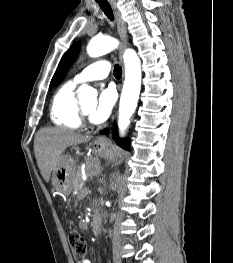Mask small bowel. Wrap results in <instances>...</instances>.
<instances>
[{"label": "small bowel", "instance_id": "c3829d8e", "mask_svg": "<svg viewBox=\"0 0 233 263\" xmlns=\"http://www.w3.org/2000/svg\"><path fill=\"white\" fill-rule=\"evenodd\" d=\"M80 263H91V261L86 258V259L82 260Z\"/></svg>", "mask_w": 233, "mask_h": 263}]
</instances>
